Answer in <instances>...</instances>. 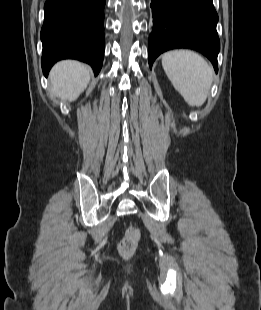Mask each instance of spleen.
Masks as SVG:
<instances>
[{
  "mask_svg": "<svg viewBox=\"0 0 261 310\" xmlns=\"http://www.w3.org/2000/svg\"><path fill=\"white\" fill-rule=\"evenodd\" d=\"M162 66L188 105L204 104L212 85L213 69L201 55L187 50L169 51L162 56Z\"/></svg>",
  "mask_w": 261,
  "mask_h": 310,
  "instance_id": "3e777b00",
  "label": "spleen"
}]
</instances>
